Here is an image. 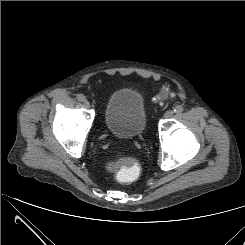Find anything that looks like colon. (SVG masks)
Returning <instances> with one entry per match:
<instances>
[{
	"label": "colon",
	"instance_id": "colon-1",
	"mask_svg": "<svg viewBox=\"0 0 245 245\" xmlns=\"http://www.w3.org/2000/svg\"><path fill=\"white\" fill-rule=\"evenodd\" d=\"M164 93L173 96L171 92L166 91ZM137 168V164L133 159H123L119 161L118 166H109V170L113 171L116 179L123 184H129L135 181Z\"/></svg>",
	"mask_w": 245,
	"mask_h": 245
}]
</instances>
